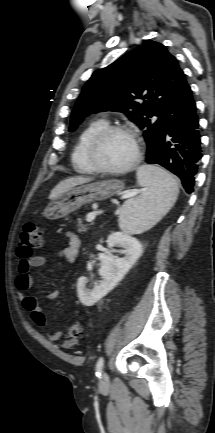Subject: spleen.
Masks as SVG:
<instances>
[{
  "mask_svg": "<svg viewBox=\"0 0 215 433\" xmlns=\"http://www.w3.org/2000/svg\"><path fill=\"white\" fill-rule=\"evenodd\" d=\"M137 180L145 187V192L127 200L119 214L120 229L131 234H139L152 228L169 212L179 194L176 180L160 167H139Z\"/></svg>",
  "mask_w": 215,
  "mask_h": 433,
  "instance_id": "3e777b00",
  "label": "spleen"
}]
</instances>
